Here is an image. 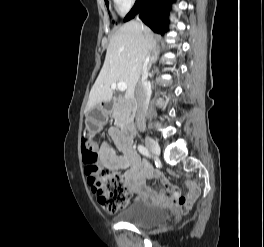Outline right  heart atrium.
<instances>
[{
  "label": "right heart atrium",
  "mask_w": 264,
  "mask_h": 247,
  "mask_svg": "<svg viewBox=\"0 0 264 247\" xmlns=\"http://www.w3.org/2000/svg\"><path fill=\"white\" fill-rule=\"evenodd\" d=\"M117 10L124 14L126 13L136 2V0H113Z\"/></svg>",
  "instance_id": "1"
}]
</instances>
